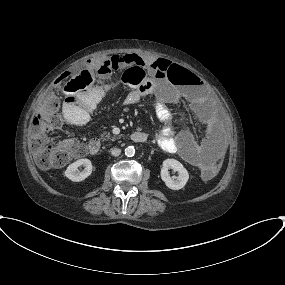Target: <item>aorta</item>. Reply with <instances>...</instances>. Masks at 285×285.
<instances>
[{"label": "aorta", "mask_w": 285, "mask_h": 285, "mask_svg": "<svg viewBox=\"0 0 285 285\" xmlns=\"http://www.w3.org/2000/svg\"><path fill=\"white\" fill-rule=\"evenodd\" d=\"M135 154V148L133 146H128L125 148V155L128 157H132Z\"/></svg>", "instance_id": "aorta-1"}]
</instances>
